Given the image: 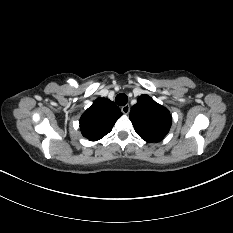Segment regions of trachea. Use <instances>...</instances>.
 I'll return each instance as SVG.
<instances>
[{
    "instance_id": "obj_1",
    "label": "trachea",
    "mask_w": 233,
    "mask_h": 233,
    "mask_svg": "<svg viewBox=\"0 0 233 233\" xmlns=\"http://www.w3.org/2000/svg\"><path fill=\"white\" fill-rule=\"evenodd\" d=\"M127 101H128V97H127V95L124 94V93L118 94V95L116 96V98H115V102H116L119 106H124V105H126Z\"/></svg>"
}]
</instances>
